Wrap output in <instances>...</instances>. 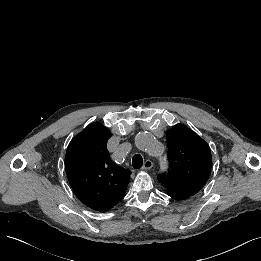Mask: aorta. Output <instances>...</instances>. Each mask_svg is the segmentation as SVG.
<instances>
[{
  "label": "aorta",
  "instance_id": "aorta-1",
  "mask_svg": "<svg viewBox=\"0 0 261 261\" xmlns=\"http://www.w3.org/2000/svg\"><path fill=\"white\" fill-rule=\"evenodd\" d=\"M135 144L139 150L145 151L151 155L155 154L158 147V142L147 132L140 133L135 139ZM161 167H164L163 161L161 162Z\"/></svg>",
  "mask_w": 261,
  "mask_h": 261
}]
</instances>
